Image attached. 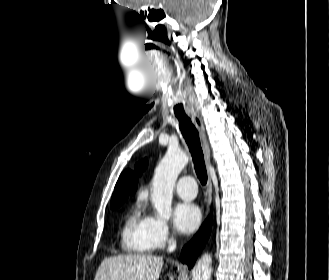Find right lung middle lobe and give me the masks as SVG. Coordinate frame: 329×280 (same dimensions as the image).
Returning a JSON list of instances; mask_svg holds the SVG:
<instances>
[{"instance_id": "right-lung-middle-lobe-1", "label": "right lung middle lobe", "mask_w": 329, "mask_h": 280, "mask_svg": "<svg viewBox=\"0 0 329 280\" xmlns=\"http://www.w3.org/2000/svg\"><path fill=\"white\" fill-rule=\"evenodd\" d=\"M124 200H122V201H119L117 204H115V205H113V206H111L113 209H115V208H117L118 206H120L121 204H122V202H123Z\"/></svg>"}]
</instances>
